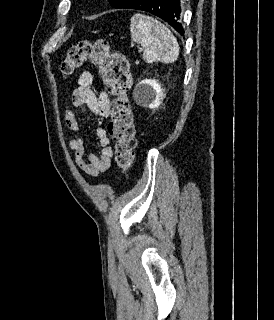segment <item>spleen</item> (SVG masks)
Returning <instances> with one entry per match:
<instances>
[{
  "mask_svg": "<svg viewBox=\"0 0 274 320\" xmlns=\"http://www.w3.org/2000/svg\"><path fill=\"white\" fill-rule=\"evenodd\" d=\"M133 42L141 44L144 48L143 58L147 64L163 62L172 64L179 56V46L172 32L150 16L134 14L130 24Z\"/></svg>",
  "mask_w": 274,
  "mask_h": 320,
  "instance_id": "obj_1",
  "label": "spleen"
}]
</instances>
